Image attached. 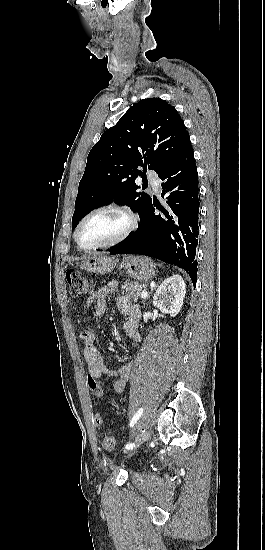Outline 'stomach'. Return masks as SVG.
<instances>
[{"instance_id": "obj_1", "label": "stomach", "mask_w": 265, "mask_h": 550, "mask_svg": "<svg viewBox=\"0 0 265 550\" xmlns=\"http://www.w3.org/2000/svg\"><path fill=\"white\" fill-rule=\"evenodd\" d=\"M118 263L116 257L105 255H92L79 263V267L94 274H106L111 272ZM126 274L136 281H149L155 275L156 267L147 257L130 256L124 257L121 264Z\"/></svg>"}]
</instances>
